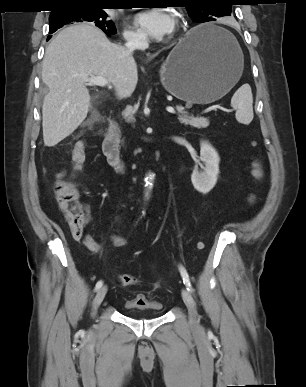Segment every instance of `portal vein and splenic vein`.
<instances>
[{"instance_id": "18ae733b", "label": "portal vein and splenic vein", "mask_w": 306, "mask_h": 387, "mask_svg": "<svg viewBox=\"0 0 306 387\" xmlns=\"http://www.w3.org/2000/svg\"><path fill=\"white\" fill-rule=\"evenodd\" d=\"M86 80L89 83V85H97V86H101V87H104V86L108 85V81L105 78H103V77H89ZM108 87L111 88L110 85H108ZM166 110L169 113H172V114L175 113L174 108L171 107V106L167 107ZM202 124H207V119L203 118L202 119Z\"/></svg>"}]
</instances>
